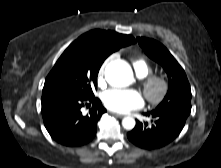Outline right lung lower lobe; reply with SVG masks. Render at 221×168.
<instances>
[{
    "label": "right lung lower lobe",
    "mask_w": 221,
    "mask_h": 168,
    "mask_svg": "<svg viewBox=\"0 0 221 168\" xmlns=\"http://www.w3.org/2000/svg\"><path fill=\"white\" fill-rule=\"evenodd\" d=\"M42 116L51 137L65 146L90 142L97 131V122L106 109L95 96L83 97L61 90L42 92ZM92 104L87 115L81 108Z\"/></svg>",
    "instance_id": "right-lung-lower-lobe-1"
}]
</instances>
